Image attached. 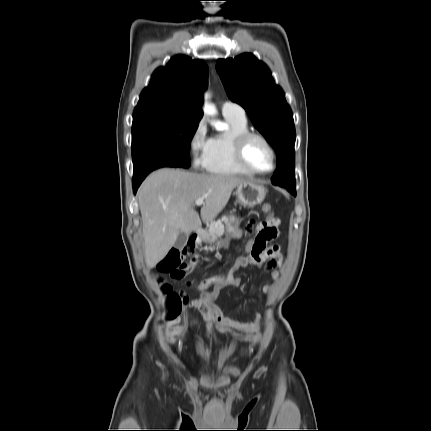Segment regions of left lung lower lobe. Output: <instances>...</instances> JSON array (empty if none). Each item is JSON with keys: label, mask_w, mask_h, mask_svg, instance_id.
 Instances as JSON below:
<instances>
[{"label": "left lung lower lobe", "mask_w": 431, "mask_h": 431, "mask_svg": "<svg viewBox=\"0 0 431 431\" xmlns=\"http://www.w3.org/2000/svg\"><path fill=\"white\" fill-rule=\"evenodd\" d=\"M288 191H290L292 194L296 195L295 189H287Z\"/></svg>", "instance_id": "left-lung-lower-lobe-1"}]
</instances>
